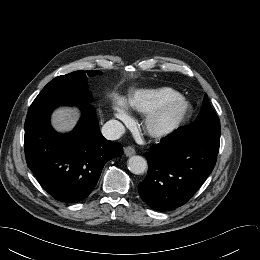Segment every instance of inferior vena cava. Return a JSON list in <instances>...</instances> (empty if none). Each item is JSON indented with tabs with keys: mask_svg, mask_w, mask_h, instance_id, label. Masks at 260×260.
Listing matches in <instances>:
<instances>
[{
	"mask_svg": "<svg viewBox=\"0 0 260 260\" xmlns=\"http://www.w3.org/2000/svg\"><path fill=\"white\" fill-rule=\"evenodd\" d=\"M125 132L123 124L117 120H109L102 127V134L108 140H117Z\"/></svg>",
	"mask_w": 260,
	"mask_h": 260,
	"instance_id": "inferior-vena-cava-1",
	"label": "inferior vena cava"
}]
</instances>
